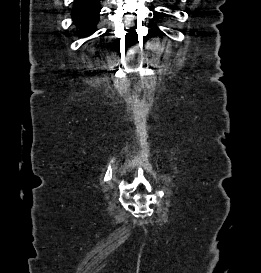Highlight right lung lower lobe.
<instances>
[{"instance_id":"1","label":"right lung lower lobe","mask_w":261,"mask_h":273,"mask_svg":"<svg viewBox=\"0 0 261 273\" xmlns=\"http://www.w3.org/2000/svg\"><path fill=\"white\" fill-rule=\"evenodd\" d=\"M100 0H74L72 18L80 30V35L86 37L96 31L99 19Z\"/></svg>"}]
</instances>
